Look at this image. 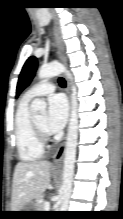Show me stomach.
<instances>
[{"label":"stomach","mask_w":123,"mask_h":219,"mask_svg":"<svg viewBox=\"0 0 123 219\" xmlns=\"http://www.w3.org/2000/svg\"><path fill=\"white\" fill-rule=\"evenodd\" d=\"M35 208H36L35 203L34 202H29L20 211H35ZM20 215L24 217V216H28L30 214H29V212H22Z\"/></svg>","instance_id":"1"}]
</instances>
